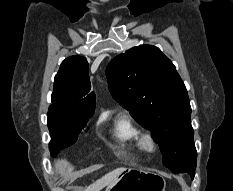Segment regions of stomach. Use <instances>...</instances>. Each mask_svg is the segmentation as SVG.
I'll return each instance as SVG.
<instances>
[{
	"instance_id": "1",
	"label": "stomach",
	"mask_w": 233,
	"mask_h": 191,
	"mask_svg": "<svg viewBox=\"0 0 233 191\" xmlns=\"http://www.w3.org/2000/svg\"><path fill=\"white\" fill-rule=\"evenodd\" d=\"M165 180L158 174L127 168L105 191H165Z\"/></svg>"
}]
</instances>
